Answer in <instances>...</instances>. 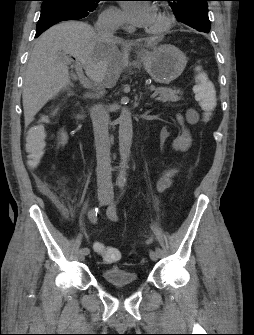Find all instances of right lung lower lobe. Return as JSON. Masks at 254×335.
Wrapping results in <instances>:
<instances>
[{"instance_id": "right-lung-lower-lobe-1", "label": "right lung lower lobe", "mask_w": 254, "mask_h": 335, "mask_svg": "<svg viewBox=\"0 0 254 335\" xmlns=\"http://www.w3.org/2000/svg\"><path fill=\"white\" fill-rule=\"evenodd\" d=\"M88 14L89 12H81L72 7L63 5H52L42 8L35 37H38L42 32L58 22L81 19Z\"/></svg>"}]
</instances>
